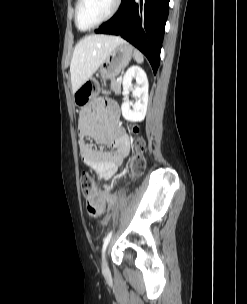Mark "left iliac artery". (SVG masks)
I'll list each match as a JSON object with an SVG mask.
<instances>
[{
  "instance_id": "left-iliac-artery-1",
  "label": "left iliac artery",
  "mask_w": 247,
  "mask_h": 304,
  "mask_svg": "<svg viewBox=\"0 0 247 304\" xmlns=\"http://www.w3.org/2000/svg\"><path fill=\"white\" fill-rule=\"evenodd\" d=\"M111 236H112V231H110V232L107 234V236L105 237V239H104V244H103V248H102V252H103V253H104L105 250H106V247H107V245H108V243H109V241H110V239H111Z\"/></svg>"
}]
</instances>
